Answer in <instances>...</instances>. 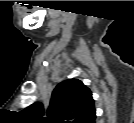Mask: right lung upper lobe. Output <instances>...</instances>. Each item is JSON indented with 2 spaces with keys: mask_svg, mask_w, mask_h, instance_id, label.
Segmentation results:
<instances>
[{
  "mask_svg": "<svg viewBox=\"0 0 134 123\" xmlns=\"http://www.w3.org/2000/svg\"><path fill=\"white\" fill-rule=\"evenodd\" d=\"M24 114L32 120L48 123H95V107L92 93L82 81L69 79L59 83L54 89L44 116L42 103L36 102Z\"/></svg>",
  "mask_w": 134,
  "mask_h": 123,
  "instance_id": "1",
  "label": "right lung upper lobe"
}]
</instances>
